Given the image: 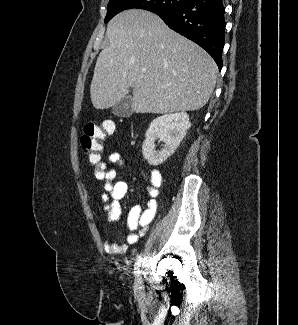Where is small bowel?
I'll return each instance as SVG.
<instances>
[{
	"label": "small bowel",
	"instance_id": "c3829d8e",
	"mask_svg": "<svg viewBox=\"0 0 298 325\" xmlns=\"http://www.w3.org/2000/svg\"><path fill=\"white\" fill-rule=\"evenodd\" d=\"M124 159L118 152L108 155L106 160H99L95 164V177L97 180L104 181V188L101 194L103 202V211L106 214L109 224H114L121 214V200L127 193L128 184L125 181L113 182L116 177L115 166H123ZM162 184V175L159 170L152 169L150 171L149 183L147 185L148 199L146 207L141 208L140 205H133L128 213L127 227L129 233L127 235V243L135 244L140 237L147 231L150 223L155 217L157 211L156 197ZM104 249L110 254L124 253L127 249L126 245H120L111 241L104 242Z\"/></svg>",
	"mask_w": 298,
	"mask_h": 325
}]
</instances>
